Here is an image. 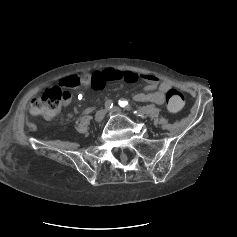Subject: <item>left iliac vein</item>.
Returning a JSON list of instances; mask_svg holds the SVG:
<instances>
[{
    "label": "left iliac vein",
    "instance_id": "1",
    "mask_svg": "<svg viewBox=\"0 0 237 237\" xmlns=\"http://www.w3.org/2000/svg\"><path fill=\"white\" fill-rule=\"evenodd\" d=\"M110 111L116 114H123V112L118 107H113Z\"/></svg>",
    "mask_w": 237,
    "mask_h": 237
}]
</instances>
